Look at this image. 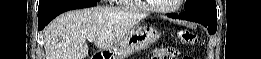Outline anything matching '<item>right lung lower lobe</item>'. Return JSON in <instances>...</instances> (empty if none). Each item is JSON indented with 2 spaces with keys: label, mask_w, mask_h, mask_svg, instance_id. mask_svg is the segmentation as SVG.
I'll list each match as a JSON object with an SVG mask.
<instances>
[{
  "label": "right lung lower lobe",
  "mask_w": 261,
  "mask_h": 59,
  "mask_svg": "<svg viewBox=\"0 0 261 59\" xmlns=\"http://www.w3.org/2000/svg\"><path fill=\"white\" fill-rule=\"evenodd\" d=\"M96 5L97 0H62L38 14V30L44 29L50 21L63 12L73 9L93 7Z\"/></svg>",
  "instance_id": "obj_1"
}]
</instances>
